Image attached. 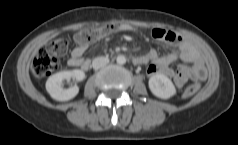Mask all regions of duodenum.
Masks as SVG:
<instances>
[{"label": "duodenum", "mask_w": 238, "mask_h": 145, "mask_svg": "<svg viewBox=\"0 0 238 145\" xmlns=\"http://www.w3.org/2000/svg\"><path fill=\"white\" fill-rule=\"evenodd\" d=\"M132 61H133V63H134L135 65H138V58H137V56H136V57H133V58H132Z\"/></svg>", "instance_id": "410a0bca"}]
</instances>
